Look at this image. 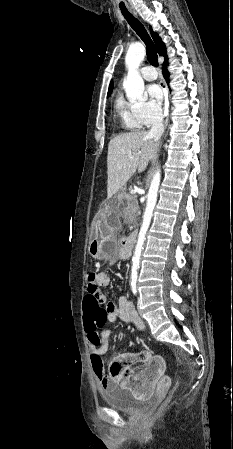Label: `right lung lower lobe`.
Returning a JSON list of instances; mask_svg holds the SVG:
<instances>
[{
    "label": "right lung lower lobe",
    "instance_id": "1",
    "mask_svg": "<svg viewBox=\"0 0 233 449\" xmlns=\"http://www.w3.org/2000/svg\"><path fill=\"white\" fill-rule=\"evenodd\" d=\"M167 64H168L167 62L163 63V75H164V78L166 79V81L168 83L169 82V73H168V71L166 69Z\"/></svg>",
    "mask_w": 233,
    "mask_h": 449
}]
</instances>
